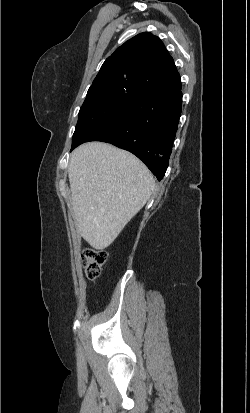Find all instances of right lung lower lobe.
<instances>
[{
	"label": "right lung lower lobe",
	"mask_w": 250,
	"mask_h": 413,
	"mask_svg": "<svg viewBox=\"0 0 250 413\" xmlns=\"http://www.w3.org/2000/svg\"><path fill=\"white\" fill-rule=\"evenodd\" d=\"M181 107V85L140 95L86 142L103 141L130 151L160 181L168 167Z\"/></svg>",
	"instance_id": "98d812e1"
}]
</instances>
